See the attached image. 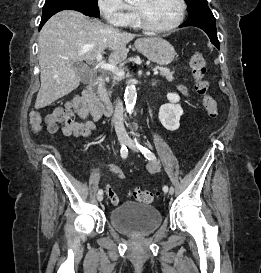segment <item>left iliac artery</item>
I'll return each instance as SVG.
<instances>
[{"label":"left iliac artery","instance_id":"obj_1","mask_svg":"<svg viewBox=\"0 0 261 273\" xmlns=\"http://www.w3.org/2000/svg\"><path fill=\"white\" fill-rule=\"evenodd\" d=\"M136 140V139H135ZM136 145L138 146V148L140 149V151L142 152V154H144V156L150 160V161H155L156 160V157L154 155V153H152L149 149H147L146 147H143L141 145H139L137 142H136ZM174 188L173 187H170V190ZM163 191L164 192H167L168 191V187L167 186H164L163 187Z\"/></svg>","mask_w":261,"mask_h":273}]
</instances>
